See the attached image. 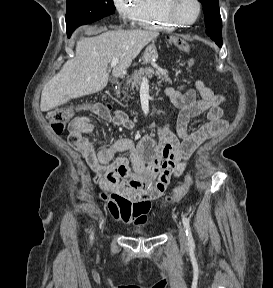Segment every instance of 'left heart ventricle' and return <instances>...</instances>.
Here are the masks:
<instances>
[{
	"mask_svg": "<svg viewBox=\"0 0 273 288\" xmlns=\"http://www.w3.org/2000/svg\"><path fill=\"white\" fill-rule=\"evenodd\" d=\"M175 13L183 21H192L197 14V7L194 0H177Z\"/></svg>",
	"mask_w": 273,
	"mask_h": 288,
	"instance_id": "left-heart-ventricle-1",
	"label": "left heart ventricle"
}]
</instances>
